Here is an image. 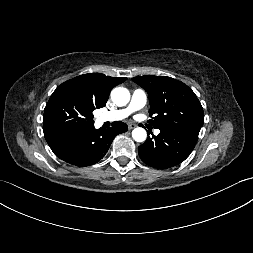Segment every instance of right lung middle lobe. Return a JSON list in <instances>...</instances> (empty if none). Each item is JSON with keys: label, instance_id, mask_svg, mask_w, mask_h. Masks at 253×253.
Masks as SVG:
<instances>
[{"label": "right lung middle lobe", "instance_id": "obj_1", "mask_svg": "<svg viewBox=\"0 0 253 253\" xmlns=\"http://www.w3.org/2000/svg\"><path fill=\"white\" fill-rule=\"evenodd\" d=\"M98 108L78 89L61 84L51 95L43 116L44 134L69 128L94 125L93 111Z\"/></svg>", "mask_w": 253, "mask_h": 253}]
</instances>
